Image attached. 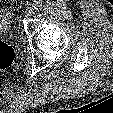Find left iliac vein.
<instances>
[{"label": "left iliac vein", "mask_w": 113, "mask_h": 113, "mask_svg": "<svg viewBox=\"0 0 113 113\" xmlns=\"http://www.w3.org/2000/svg\"><path fill=\"white\" fill-rule=\"evenodd\" d=\"M33 14H34V9L33 8L29 7V8L26 9V11H25V16L26 17H30Z\"/></svg>", "instance_id": "4c4485c4"}]
</instances>
